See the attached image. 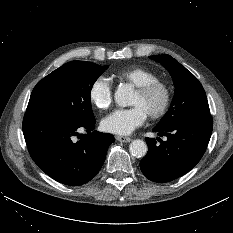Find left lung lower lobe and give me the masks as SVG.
Returning <instances> with one entry per match:
<instances>
[{"instance_id": "0a47b994", "label": "left lung lower lobe", "mask_w": 233, "mask_h": 233, "mask_svg": "<svg viewBox=\"0 0 233 233\" xmlns=\"http://www.w3.org/2000/svg\"><path fill=\"white\" fill-rule=\"evenodd\" d=\"M213 120L211 115H191L166 127H155L159 136L167 141L145 138L148 153L141 160L142 173L151 181L164 183L190 171L202 158L211 137ZM158 140V139H157Z\"/></svg>"}]
</instances>
